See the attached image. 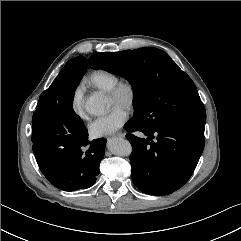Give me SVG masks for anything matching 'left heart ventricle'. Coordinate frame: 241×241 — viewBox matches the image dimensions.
<instances>
[{"instance_id":"1","label":"left heart ventricle","mask_w":241,"mask_h":241,"mask_svg":"<svg viewBox=\"0 0 241 241\" xmlns=\"http://www.w3.org/2000/svg\"><path fill=\"white\" fill-rule=\"evenodd\" d=\"M128 95L124 93L119 99H113L109 96V103L111 107L114 106H122L125 107L126 101H127Z\"/></svg>"}]
</instances>
